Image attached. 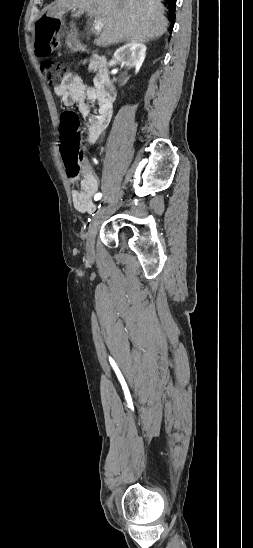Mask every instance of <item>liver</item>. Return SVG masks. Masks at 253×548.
<instances>
[{
    "label": "liver",
    "instance_id": "liver-1",
    "mask_svg": "<svg viewBox=\"0 0 253 548\" xmlns=\"http://www.w3.org/2000/svg\"><path fill=\"white\" fill-rule=\"evenodd\" d=\"M70 10L75 17L88 13L101 18L104 26L94 40L99 47L153 40L161 37L168 25L160 0H56L47 17L60 19Z\"/></svg>",
    "mask_w": 253,
    "mask_h": 548
}]
</instances>
